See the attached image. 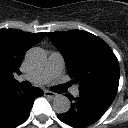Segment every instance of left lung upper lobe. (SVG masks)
Here are the masks:
<instances>
[{"label":"left lung upper lobe","mask_w":128,"mask_h":128,"mask_svg":"<svg viewBox=\"0 0 128 128\" xmlns=\"http://www.w3.org/2000/svg\"><path fill=\"white\" fill-rule=\"evenodd\" d=\"M47 36L63 54L72 83L79 84V91L117 92L119 64L106 42L82 30L53 32Z\"/></svg>","instance_id":"5c2ea615"}]
</instances>
